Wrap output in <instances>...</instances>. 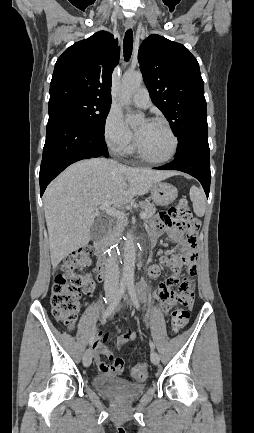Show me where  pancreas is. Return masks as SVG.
Wrapping results in <instances>:
<instances>
[{"mask_svg":"<svg viewBox=\"0 0 254 433\" xmlns=\"http://www.w3.org/2000/svg\"><path fill=\"white\" fill-rule=\"evenodd\" d=\"M139 206L144 210L143 212L146 214V219L151 218L155 212L156 208L154 204L143 201L139 203ZM127 222L125 220L118 219L113 226L112 232L109 235L110 242H116L117 239L122 235Z\"/></svg>","mask_w":254,"mask_h":433,"instance_id":"cf45deb5","label":"pancreas"}]
</instances>
